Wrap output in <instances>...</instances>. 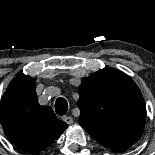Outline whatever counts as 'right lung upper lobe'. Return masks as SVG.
Instances as JSON below:
<instances>
[{"label":"right lung upper lobe","instance_id":"obj_1","mask_svg":"<svg viewBox=\"0 0 155 155\" xmlns=\"http://www.w3.org/2000/svg\"><path fill=\"white\" fill-rule=\"evenodd\" d=\"M0 121L10 142L32 153L52 144L68 127L49 106L39 105L36 82L24 74L14 78L4 93Z\"/></svg>","mask_w":155,"mask_h":155}]
</instances>
